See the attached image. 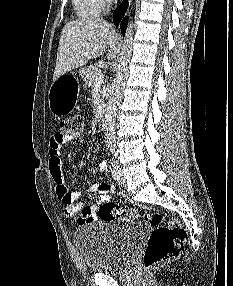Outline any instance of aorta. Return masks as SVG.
<instances>
[{"instance_id":"762f6f07","label":"aorta","mask_w":233,"mask_h":286,"mask_svg":"<svg viewBox=\"0 0 233 286\" xmlns=\"http://www.w3.org/2000/svg\"><path fill=\"white\" fill-rule=\"evenodd\" d=\"M134 27L135 25L130 21L125 33L122 52L116 67V75L112 83L108 106L103 121L105 136L109 142L115 140V118L122 99L123 88L128 77V63L132 54Z\"/></svg>"}]
</instances>
